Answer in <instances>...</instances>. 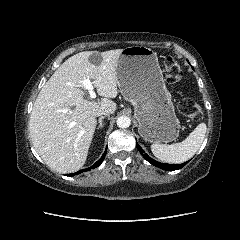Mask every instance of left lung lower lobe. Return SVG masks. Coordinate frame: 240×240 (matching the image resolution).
Returning a JSON list of instances; mask_svg holds the SVG:
<instances>
[{"instance_id": "obj_1", "label": "left lung lower lobe", "mask_w": 240, "mask_h": 240, "mask_svg": "<svg viewBox=\"0 0 240 240\" xmlns=\"http://www.w3.org/2000/svg\"><path fill=\"white\" fill-rule=\"evenodd\" d=\"M137 149L139 150V152L142 154V156L148 162H150L152 165H154L156 167H159L161 169H164V170H168V171L178 170V169H181L186 164V163L179 164V165H176V164H163V163L157 162V161L153 160L152 158H150L138 144H137Z\"/></svg>"}]
</instances>
